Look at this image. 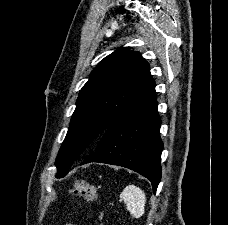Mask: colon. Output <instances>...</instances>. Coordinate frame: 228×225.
<instances>
[{"instance_id":"obj_1","label":"colon","mask_w":228,"mask_h":225,"mask_svg":"<svg viewBox=\"0 0 228 225\" xmlns=\"http://www.w3.org/2000/svg\"><path fill=\"white\" fill-rule=\"evenodd\" d=\"M72 193L79 197L83 198L87 201H92L96 198V188L95 186L86 181V180H78L73 184Z\"/></svg>"}]
</instances>
